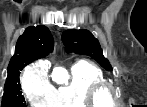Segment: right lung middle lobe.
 I'll use <instances>...</instances> for the list:
<instances>
[{"instance_id":"obj_1","label":"right lung middle lobe","mask_w":147,"mask_h":107,"mask_svg":"<svg viewBox=\"0 0 147 107\" xmlns=\"http://www.w3.org/2000/svg\"><path fill=\"white\" fill-rule=\"evenodd\" d=\"M29 63L31 62L24 64L18 72L8 76L4 86L1 107H26L25 99L21 92L19 75L20 71Z\"/></svg>"}]
</instances>
